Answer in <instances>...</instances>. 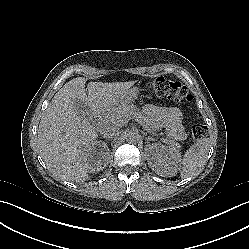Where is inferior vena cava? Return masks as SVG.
I'll return each instance as SVG.
<instances>
[{
	"instance_id": "1",
	"label": "inferior vena cava",
	"mask_w": 249,
	"mask_h": 249,
	"mask_svg": "<svg viewBox=\"0 0 249 249\" xmlns=\"http://www.w3.org/2000/svg\"><path fill=\"white\" fill-rule=\"evenodd\" d=\"M117 128L118 127L116 125L110 126L106 131H104V136L112 137L116 135V132L118 131Z\"/></svg>"
}]
</instances>
